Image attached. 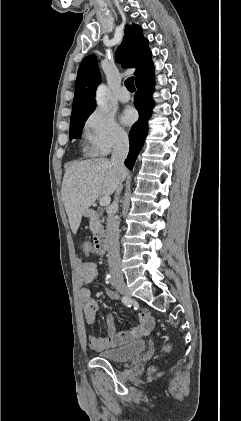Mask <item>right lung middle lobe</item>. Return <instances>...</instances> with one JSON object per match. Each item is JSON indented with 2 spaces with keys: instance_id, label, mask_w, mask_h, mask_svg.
<instances>
[{
  "instance_id": "obj_1",
  "label": "right lung middle lobe",
  "mask_w": 241,
  "mask_h": 421,
  "mask_svg": "<svg viewBox=\"0 0 241 421\" xmlns=\"http://www.w3.org/2000/svg\"><path fill=\"white\" fill-rule=\"evenodd\" d=\"M89 115L72 118L70 121V140L80 138L82 128Z\"/></svg>"
}]
</instances>
